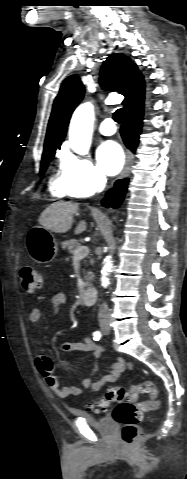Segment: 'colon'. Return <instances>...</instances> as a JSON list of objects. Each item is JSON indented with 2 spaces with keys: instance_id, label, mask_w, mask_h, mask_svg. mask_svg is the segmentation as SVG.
<instances>
[{
  "instance_id": "colon-1",
  "label": "colon",
  "mask_w": 187,
  "mask_h": 479,
  "mask_svg": "<svg viewBox=\"0 0 187 479\" xmlns=\"http://www.w3.org/2000/svg\"><path fill=\"white\" fill-rule=\"evenodd\" d=\"M22 290L31 294L40 289L43 284V276L40 271L32 266L20 268ZM140 393H146L150 400L139 402ZM158 390L154 382L150 380L125 390L120 387H110L105 395L90 408L104 411L110 404L117 403L113 411V418L122 425L121 438L126 445H133L140 436L139 423L143 413L153 411L158 407Z\"/></svg>"
}]
</instances>
